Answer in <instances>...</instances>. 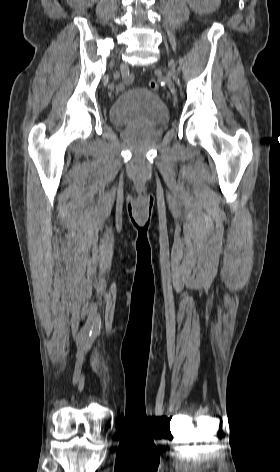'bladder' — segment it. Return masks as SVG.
Wrapping results in <instances>:
<instances>
[{"label": "bladder", "instance_id": "bladder-1", "mask_svg": "<svg viewBox=\"0 0 280 472\" xmlns=\"http://www.w3.org/2000/svg\"><path fill=\"white\" fill-rule=\"evenodd\" d=\"M109 116L120 127L162 128L169 121L168 110L160 97L141 87L120 94L111 104Z\"/></svg>", "mask_w": 280, "mask_h": 472}]
</instances>
